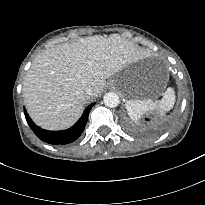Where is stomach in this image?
I'll return each instance as SVG.
<instances>
[{
  "label": "stomach",
  "instance_id": "1",
  "mask_svg": "<svg viewBox=\"0 0 205 205\" xmlns=\"http://www.w3.org/2000/svg\"><path fill=\"white\" fill-rule=\"evenodd\" d=\"M111 84L128 99H156L164 91L167 80H147L143 76L142 66L131 64L111 81Z\"/></svg>",
  "mask_w": 205,
  "mask_h": 205
}]
</instances>
